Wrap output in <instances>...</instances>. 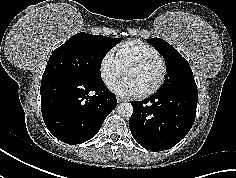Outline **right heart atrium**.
<instances>
[{
	"label": "right heart atrium",
	"mask_w": 236,
	"mask_h": 178,
	"mask_svg": "<svg viewBox=\"0 0 236 178\" xmlns=\"http://www.w3.org/2000/svg\"><path fill=\"white\" fill-rule=\"evenodd\" d=\"M124 69L119 64L114 54L106 52L99 62V74L103 83L110 87L113 83L122 76Z\"/></svg>",
	"instance_id": "1"
}]
</instances>
